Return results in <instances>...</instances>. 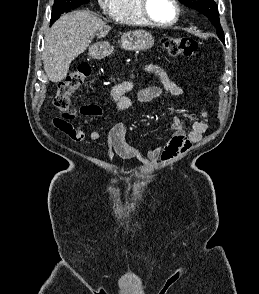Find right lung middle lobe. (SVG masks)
<instances>
[{"mask_svg": "<svg viewBox=\"0 0 259 294\" xmlns=\"http://www.w3.org/2000/svg\"><path fill=\"white\" fill-rule=\"evenodd\" d=\"M89 1L90 0H55L51 16V24L55 22L61 14L69 12Z\"/></svg>", "mask_w": 259, "mask_h": 294, "instance_id": "dd1d6c3e", "label": "right lung middle lobe"}]
</instances>
